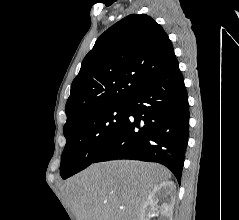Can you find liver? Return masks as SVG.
<instances>
[{
    "label": "liver",
    "mask_w": 239,
    "mask_h": 220,
    "mask_svg": "<svg viewBox=\"0 0 239 220\" xmlns=\"http://www.w3.org/2000/svg\"><path fill=\"white\" fill-rule=\"evenodd\" d=\"M170 177L155 163L114 160L90 165L64 191L76 220H140L153 188Z\"/></svg>",
    "instance_id": "liver-1"
}]
</instances>
